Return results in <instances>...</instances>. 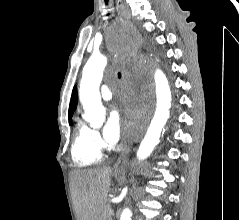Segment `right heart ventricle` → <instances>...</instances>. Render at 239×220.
Masks as SVG:
<instances>
[{"mask_svg": "<svg viewBox=\"0 0 239 220\" xmlns=\"http://www.w3.org/2000/svg\"><path fill=\"white\" fill-rule=\"evenodd\" d=\"M92 132L93 130L83 120L77 118L71 157L73 163L78 167L92 166L101 160L102 154L93 142Z\"/></svg>", "mask_w": 239, "mask_h": 220, "instance_id": "right-heart-ventricle-1", "label": "right heart ventricle"}]
</instances>
